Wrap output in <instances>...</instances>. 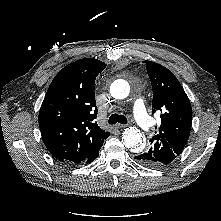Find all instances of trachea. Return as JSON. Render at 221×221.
<instances>
[{"label": "trachea", "instance_id": "trachea-1", "mask_svg": "<svg viewBox=\"0 0 221 221\" xmlns=\"http://www.w3.org/2000/svg\"><path fill=\"white\" fill-rule=\"evenodd\" d=\"M117 122L120 124H127L128 121L124 115L114 113L109 117L108 123L115 124Z\"/></svg>", "mask_w": 221, "mask_h": 221}]
</instances>
